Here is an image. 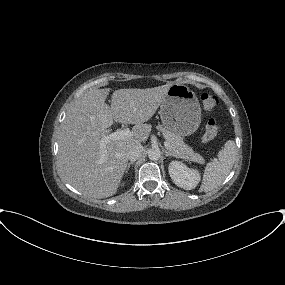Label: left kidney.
I'll list each match as a JSON object with an SVG mask.
<instances>
[{
	"mask_svg": "<svg viewBox=\"0 0 285 285\" xmlns=\"http://www.w3.org/2000/svg\"><path fill=\"white\" fill-rule=\"evenodd\" d=\"M168 171L173 182L185 190L194 189L201 180L197 169L189 168L180 161H172Z\"/></svg>",
	"mask_w": 285,
	"mask_h": 285,
	"instance_id": "left-kidney-1",
	"label": "left kidney"
}]
</instances>
